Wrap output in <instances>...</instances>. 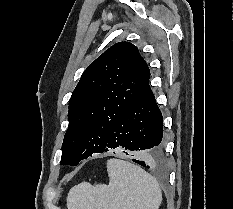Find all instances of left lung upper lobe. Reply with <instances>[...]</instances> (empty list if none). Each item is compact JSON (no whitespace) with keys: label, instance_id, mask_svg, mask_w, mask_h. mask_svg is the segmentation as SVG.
Instances as JSON below:
<instances>
[{"label":"left lung upper lobe","instance_id":"1","mask_svg":"<svg viewBox=\"0 0 233 209\" xmlns=\"http://www.w3.org/2000/svg\"><path fill=\"white\" fill-rule=\"evenodd\" d=\"M148 73L146 61L129 42L114 44L87 67L69 100L62 165L104 152L112 127Z\"/></svg>","mask_w":233,"mask_h":209}]
</instances>
